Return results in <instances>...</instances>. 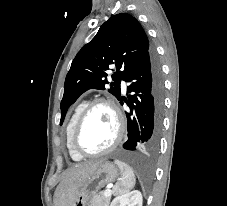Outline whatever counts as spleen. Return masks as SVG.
Masks as SVG:
<instances>
[{
  "label": "spleen",
  "instance_id": "obj_1",
  "mask_svg": "<svg viewBox=\"0 0 227 206\" xmlns=\"http://www.w3.org/2000/svg\"><path fill=\"white\" fill-rule=\"evenodd\" d=\"M116 165L121 170V180L116 183L114 187L115 195L124 194L132 189L135 185L136 179L132 168L126 163L115 160Z\"/></svg>",
  "mask_w": 227,
  "mask_h": 206
}]
</instances>
